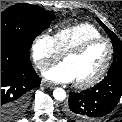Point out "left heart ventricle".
<instances>
[{
  "label": "left heart ventricle",
  "mask_w": 122,
  "mask_h": 122,
  "mask_svg": "<svg viewBox=\"0 0 122 122\" xmlns=\"http://www.w3.org/2000/svg\"><path fill=\"white\" fill-rule=\"evenodd\" d=\"M108 46L104 42L89 47L78 56H68L64 62L69 66L74 82H84L94 77L104 65Z\"/></svg>",
  "instance_id": "b2bd125f"
}]
</instances>
